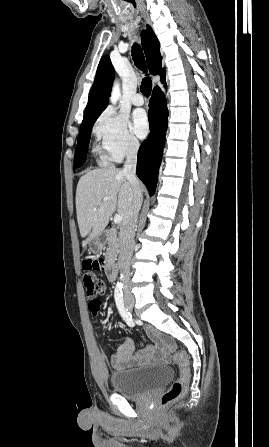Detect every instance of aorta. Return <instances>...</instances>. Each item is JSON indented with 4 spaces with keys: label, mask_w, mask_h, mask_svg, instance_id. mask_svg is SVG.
<instances>
[{
    "label": "aorta",
    "mask_w": 269,
    "mask_h": 447,
    "mask_svg": "<svg viewBox=\"0 0 269 447\" xmlns=\"http://www.w3.org/2000/svg\"><path fill=\"white\" fill-rule=\"evenodd\" d=\"M120 96H121L120 84H118V82H115L111 92V98H110L111 104H117Z\"/></svg>",
    "instance_id": "obj_1"
}]
</instances>
